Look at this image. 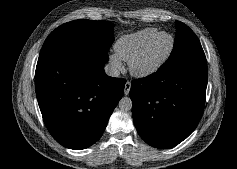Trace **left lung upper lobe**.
<instances>
[{
	"instance_id": "obj_1",
	"label": "left lung upper lobe",
	"mask_w": 237,
	"mask_h": 169,
	"mask_svg": "<svg viewBox=\"0 0 237 169\" xmlns=\"http://www.w3.org/2000/svg\"><path fill=\"white\" fill-rule=\"evenodd\" d=\"M175 24L176 37L173 51L162 67L172 69L189 60L206 59L200 41L195 33L180 21H176Z\"/></svg>"
}]
</instances>
